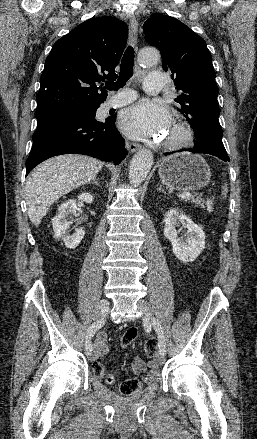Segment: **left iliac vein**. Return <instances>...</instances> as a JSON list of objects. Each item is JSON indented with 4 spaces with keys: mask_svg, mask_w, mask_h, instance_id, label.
<instances>
[{
    "mask_svg": "<svg viewBox=\"0 0 257 439\" xmlns=\"http://www.w3.org/2000/svg\"><path fill=\"white\" fill-rule=\"evenodd\" d=\"M138 310H140L143 313V321L145 323L151 322V316H152V309L148 301L146 300H139L137 302ZM156 361L158 364H163L165 361V354L162 352H158L155 356Z\"/></svg>",
    "mask_w": 257,
    "mask_h": 439,
    "instance_id": "1",
    "label": "left iliac vein"
}]
</instances>
